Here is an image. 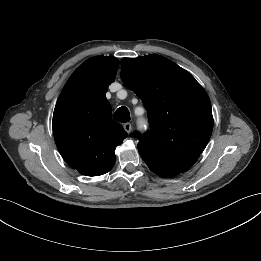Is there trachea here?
<instances>
[{
	"mask_svg": "<svg viewBox=\"0 0 261 261\" xmlns=\"http://www.w3.org/2000/svg\"><path fill=\"white\" fill-rule=\"evenodd\" d=\"M113 118L121 123H126L130 120L129 110L125 106H121L116 110Z\"/></svg>",
	"mask_w": 261,
	"mask_h": 261,
	"instance_id": "3493384b",
	"label": "trachea"
}]
</instances>
